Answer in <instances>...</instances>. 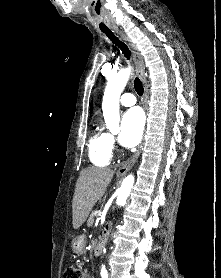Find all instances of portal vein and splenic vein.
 Here are the masks:
<instances>
[{
	"instance_id": "obj_1",
	"label": "portal vein and splenic vein",
	"mask_w": 221,
	"mask_h": 278,
	"mask_svg": "<svg viewBox=\"0 0 221 278\" xmlns=\"http://www.w3.org/2000/svg\"><path fill=\"white\" fill-rule=\"evenodd\" d=\"M96 215L101 216V210H97Z\"/></svg>"
}]
</instances>
